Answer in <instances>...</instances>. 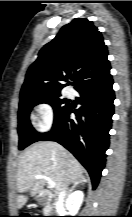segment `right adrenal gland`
Returning a JSON list of instances; mask_svg holds the SVG:
<instances>
[{"label":"right adrenal gland","instance_id":"right-adrenal-gland-1","mask_svg":"<svg viewBox=\"0 0 132 217\" xmlns=\"http://www.w3.org/2000/svg\"><path fill=\"white\" fill-rule=\"evenodd\" d=\"M85 182H87V180H86V178H85L84 176H82V177L80 178V180H78V181H76V182L74 183V185L71 187V189L69 190L68 193H71V192L74 190V188H75L76 186H78L79 184L85 183Z\"/></svg>","mask_w":132,"mask_h":217}]
</instances>
